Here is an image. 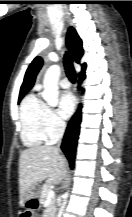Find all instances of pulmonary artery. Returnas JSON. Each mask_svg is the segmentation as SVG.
<instances>
[{
  "mask_svg": "<svg viewBox=\"0 0 132 217\" xmlns=\"http://www.w3.org/2000/svg\"><path fill=\"white\" fill-rule=\"evenodd\" d=\"M59 85L64 88V89H68L70 87V83L67 79H62L60 82H59Z\"/></svg>",
  "mask_w": 132,
  "mask_h": 217,
  "instance_id": "e3ab8cb5",
  "label": "pulmonary artery"
}]
</instances>
